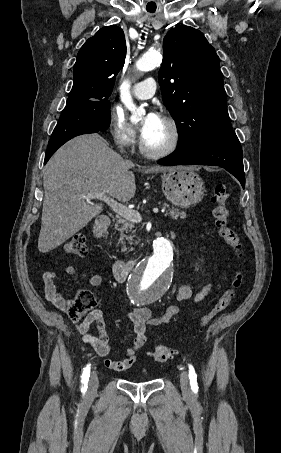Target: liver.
<instances>
[{"label":"liver","instance_id":"6515ba94","mask_svg":"<svg viewBox=\"0 0 281 453\" xmlns=\"http://www.w3.org/2000/svg\"><path fill=\"white\" fill-rule=\"evenodd\" d=\"M133 162L108 146L105 138L81 134L68 140L44 166V200L41 231L38 239L40 253H49L76 235L100 214L103 204H90L87 192H105L121 202L131 200L136 184ZM144 172H165L176 166H141Z\"/></svg>","mask_w":281,"mask_h":453}]
</instances>
